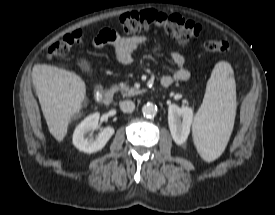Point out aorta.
Wrapping results in <instances>:
<instances>
[{
    "mask_svg": "<svg viewBox=\"0 0 275 215\" xmlns=\"http://www.w3.org/2000/svg\"><path fill=\"white\" fill-rule=\"evenodd\" d=\"M142 113L147 118H153L157 114V106L152 103H147L142 107Z\"/></svg>",
    "mask_w": 275,
    "mask_h": 215,
    "instance_id": "1",
    "label": "aorta"
}]
</instances>
